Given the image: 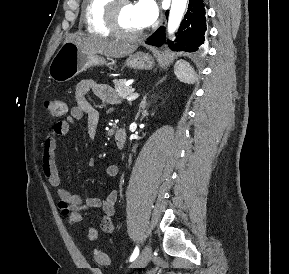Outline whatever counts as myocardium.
<instances>
[{
  "mask_svg": "<svg viewBox=\"0 0 289 274\" xmlns=\"http://www.w3.org/2000/svg\"><path fill=\"white\" fill-rule=\"evenodd\" d=\"M130 0H111L105 10V23L109 31L116 37L126 40H133L141 37L144 30L127 32L122 29L119 23V12L124 4H131Z\"/></svg>",
  "mask_w": 289,
  "mask_h": 274,
  "instance_id": "f54148a6",
  "label": "myocardium"
}]
</instances>
